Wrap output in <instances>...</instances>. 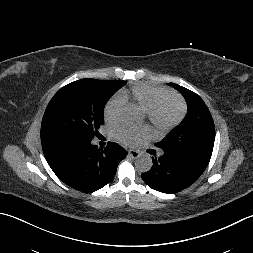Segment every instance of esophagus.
<instances>
[{
  "instance_id": "34e87169",
  "label": "esophagus",
  "mask_w": 253,
  "mask_h": 253,
  "mask_svg": "<svg viewBox=\"0 0 253 253\" xmlns=\"http://www.w3.org/2000/svg\"><path fill=\"white\" fill-rule=\"evenodd\" d=\"M128 155H129L131 158L136 159V158L139 157V152L136 151V150L131 149V150L128 151Z\"/></svg>"
}]
</instances>
